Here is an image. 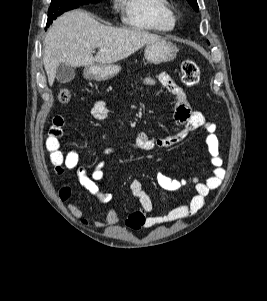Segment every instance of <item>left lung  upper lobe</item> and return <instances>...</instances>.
Here are the masks:
<instances>
[{
  "instance_id": "5c2ea615",
  "label": "left lung upper lobe",
  "mask_w": 267,
  "mask_h": 301,
  "mask_svg": "<svg viewBox=\"0 0 267 301\" xmlns=\"http://www.w3.org/2000/svg\"><path fill=\"white\" fill-rule=\"evenodd\" d=\"M190 5L194 8V10L198 11V4H197V1L196 0H187Z\"/></svg>"
}]
</instances>
